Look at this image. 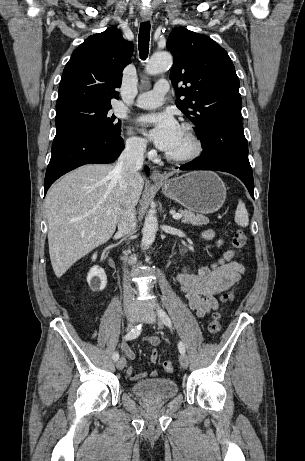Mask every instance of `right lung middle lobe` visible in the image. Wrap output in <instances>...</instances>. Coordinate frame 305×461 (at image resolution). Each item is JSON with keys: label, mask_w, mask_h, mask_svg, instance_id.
Wrapping results in <instances>:
<instances>
[{"label": "right lung middle lobe", "mask_w": 305, "mask_h": 461, "mask_svg": "<svg viewBox=\"0 0 305 461\" xmlns=\"http://www.w3.org/2000/svg\"><path fill=\"white\" fill-rule=\"evenodd\" d=\"M110 103L79 102L56 107V131L81 129L106 135H120L121 121L111 115Z\"/></svg>", "instance_id": "dd1d6c3e"}]
</instances>
